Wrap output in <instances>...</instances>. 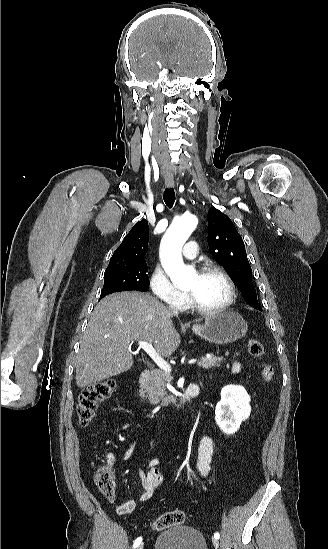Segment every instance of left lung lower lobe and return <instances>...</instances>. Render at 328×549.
<instances>
[{
  "label": "left lung lower lobe",
  "mask_w": 328,
  "mask_h": 549,
  "mask_svg": "<svg viewBox=\"0 0 328 549\" xmlns=\"http://www.w3.org/2000/svg\"><path fill=\"white\" fill-rule=\"evenodd\" d=\"M254 308H255V309H257V310H260V311H262V308H261V306H260V305H256V306H254Z\"/></svg>",
  "instance_id": "0a47b994"
}]
</instances>
